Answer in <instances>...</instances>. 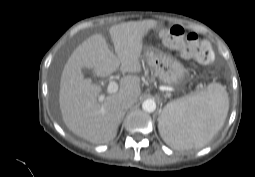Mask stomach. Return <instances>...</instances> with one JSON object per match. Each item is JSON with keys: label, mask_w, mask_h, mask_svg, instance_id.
Instances as JSON below:
<instances>
[{"label": "stomach", "mask_w": 255, "mask_h": 177, "mask_svg": "<svg viewBox=\"0 0 255 177\" xmlns=\"http://www.w3.org/2000/svg\"><path fill=\"white\" fill-rule=\"evenodd\" d=\"M143 56L162 82L170 86L181 83L185 68L178 60L155 48H147Z\"/></svg>", "instance_id": "1"}]
</instances>
